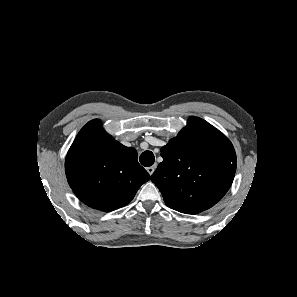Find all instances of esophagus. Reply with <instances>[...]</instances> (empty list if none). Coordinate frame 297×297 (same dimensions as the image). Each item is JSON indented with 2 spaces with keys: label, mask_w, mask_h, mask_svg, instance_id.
<instances>
[{
  "label": "esophagus",
  "mask_w": 297,
  "mask_h": 297,
  "mask_svg": "<svg viewBox=\"0 0 297 297\" xmlns=\"http://www.w3.org/2000/svg\"><path fill=\"white\" fill-rule=\"evenodd\" d=\"M147 172L149 173V175H152L153 172L155 171V166H150V167H147Z\"/></svg>",
  "instance_id": "esophagus-1"
}]
</instances>
